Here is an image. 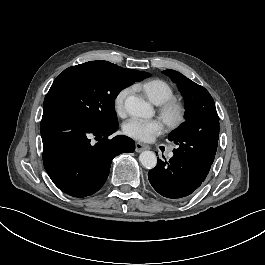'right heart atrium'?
Listing matches in <instances>:
<instances>
[{
  "mask_svg": "<svg viewBox=\"0 0 265 265\" xmlns=\"http://www.w3.org/2000/svg\"><path fill=\"white\" fill-rule=\"evenodd\" d=\"M130 96V91L127 88L120 89L115 102V113L120 119H125L128 116L126 104Z\"/></svg>",
  "mask_w": 265,
  "mask_h": 265,
  "instance_id": "right-heart-atrium-1",
  "label": "right heart atrium"
}]
</instances>
